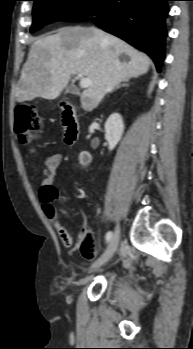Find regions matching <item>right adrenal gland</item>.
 <instances>
[{"label": "right adrenal gland", "mask_w": 193, "mask_h": 349, "mask_svg": "<svg viewBox=\"0 0 193 349\" xmlns=\"http://www.w3.org/2000/svg\"><path fill=\"white\" fill-rule=\"evenodd\" d=\"M128 82H129V80H124V81H122V83L121 84H119V85H117L115 88H114V90H117V89H119L120 87H128Z\"/></svg>", "instance_id": "obj_1"}]
</instances>
